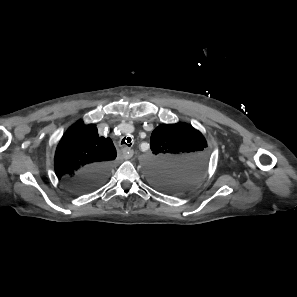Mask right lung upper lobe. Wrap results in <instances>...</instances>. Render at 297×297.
I'll return each instance as SVG.
<instances>
[{
  "label": "right lung upper lobe",
  "instance_id": "obj_1",
  "mask_svg": "<svg viewBox=\"0 0 297 297\" xmlns=\"http://www.w3.org/2000/svg\"><path fill=\"white\" fill-rule=\"evenodd\" d=\"M116 149L110 138L100 137L95 125L78 122L62 137L54 159L55 172L65 181L87 167L111 164Z\"/></svg>",
  "mask_w": 297,
  "mask_h": 297
}]
</instances>
